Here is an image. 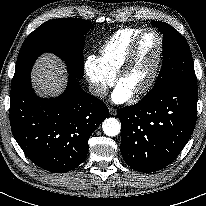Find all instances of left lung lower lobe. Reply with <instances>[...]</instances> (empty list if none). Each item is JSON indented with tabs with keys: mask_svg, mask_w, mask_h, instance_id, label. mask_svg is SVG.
<instances>
[{
	"mask_svg": "<svg viewBox=\"0 0 206 206\" xmlns=\"http://www.w3.org/2000/svg\"><path fill=\"white\" fill-rule=\"evenodd\" d=\"M121 153L140 172L172 163L190 139L197 117V85L178 83L118 111Z\"/></svg>",
	"mask_w": 206,
	"mask_h": 206,
	"instance_id": "left-lung-lower-lobe-1",
	"label": "left lung lower lobe"
}]
</instances>
